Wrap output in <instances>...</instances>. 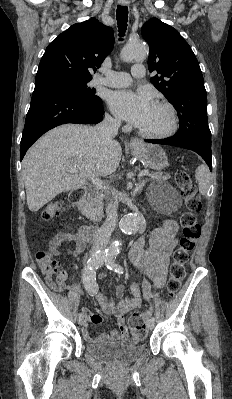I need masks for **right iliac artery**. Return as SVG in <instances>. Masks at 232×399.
Wrapping results in <instances>:
<instances>
[{"instance_id":"1","label":"right iliac artery","mask_w":232,"mask_h":399,"mask_svg":"<svg viewBox=\"0 0 232 399\" xmlns=\"http://www.w3.org/2000/svg\"><path fill=\"white\" fill-rule=\"evenodd\" d=\"M105 255H93L91 256L86 265L82 270V280L86 291L91 295L95 296L98 294L99 287L96 282V269L101 267L105 261ZM79 317H83L80 313Z\"/></svg>"}]
</instances>
